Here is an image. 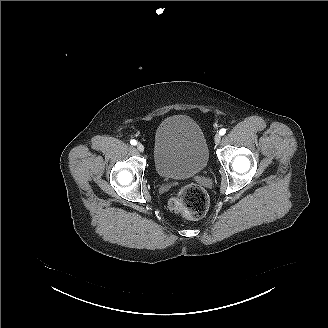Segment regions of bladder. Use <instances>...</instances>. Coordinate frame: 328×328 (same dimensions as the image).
I'll list each match as a JSON object with an SVG mask.
<instances>
[{
    "label": "bladder",
    "mask_w": 328,
    "mask_h": 328,
    "mask_svg": "<svg viewBox=\"0 0 328 328\" xmlns=\"http://www.w3.org/2000/svg\"><path fill=\"white\" fill-rule=\"evenodd\" d=\"M209 160L198 124L187 116L168 117L155 136L154 167L162 176L182 177L205 169Z\"/></svg>",
    "instance_id": "bladder-1"
}]
</instances>
